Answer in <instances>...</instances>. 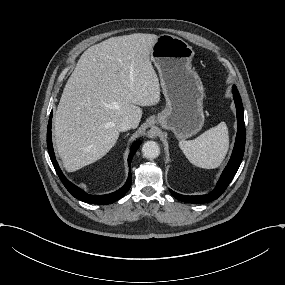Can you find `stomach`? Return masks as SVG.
<instances>
[{
	"mask_svg": "<svg viewBox=\"0 0 285 285\" xmlns=\"http://www.w3.org/2000/svg\"><path fill=\"white\" fill-rule=\"evenodd\" d=\"M158 69L166 107L156 121L178 140L198 133L204 124V88L191 61L194 51L179 37L162 34L150 52Z\"/></svg>",
	"mask_w": 285,
	"mask_h": 285,
	"instance_id": "1",
	"label": "stomach"
}]
</instances>
